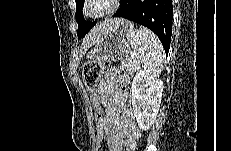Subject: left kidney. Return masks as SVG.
I'll return each mask as SVG.
<instances>
[{
	"instance_id": "1",
	"label": "left kidney",
	"mask_w": 231,
	"mask_h": 151,
	"mask_svg": "<svg viewBox=\"0 0 231 151\" xmlns=\"http://www.w3.org/2000/svg\"><path fill=\"white\" fill-rule=\"evenodd\" d=\"M163 92V82L139 71L132 82V106L141 130H148L158 114Z\"/></svg>"
}]
</instances>
